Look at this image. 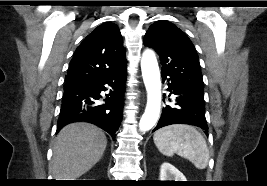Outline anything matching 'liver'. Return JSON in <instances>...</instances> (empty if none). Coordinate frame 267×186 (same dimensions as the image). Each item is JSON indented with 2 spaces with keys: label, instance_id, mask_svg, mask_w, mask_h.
<instances>
[{
  "label": "liver",
  "instance_id": "6515ba94",
  "mask_svg": "<svg viewBox=\"0 0 267 186\" xmlns=\"http://www.w3.org/2000/svg\"><path fill=\"white\" fill-rule=\"evenodd\" d=\"M107 145L104 132L84 122L65 126L53 146L50 171L55 180H75L102 157Z\"/></svg>",
  "mask_w": 267,
  "mask_h": 186
}]
</instances>
